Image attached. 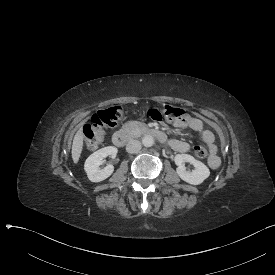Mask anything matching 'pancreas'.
<instances>
[{"instance_id": "cf45deb5", "label": "pancreas", "mask_w": 275, "mask_h": 275, "mask_svg": "<svg viewBox=\"0 0 275 275\" xmlns=\"http://www.w3.org/2000/svg\"><path fill=\"white\" fill-rule=\"evenodd\" d=\"M146 129V124L138 121H129L122 126V131L130 135L138 134Z\"/></svg>"}]
</instances>
